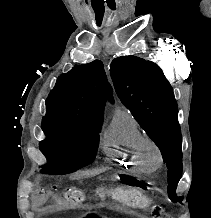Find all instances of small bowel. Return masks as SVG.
Wrapping results in <instances>:
<instances>
[{"mask_svg": "<svg viewBox=\"0 0 211 218\" xmlns=\"http://www.w3.org/2000/svg\"><path fill=\"white\" fill-rule=\"evenodd\" d=\"M50 196V192L46 191V190H43V191H39L38 193H36L34 196H33V199H34V203L36 206H41L43 205L47 199L49 198Z\"/></svg>", "mask_w": 211, "mask_h": 218, "instance_id": "1", "label": "small bowel"}]
</instances>
